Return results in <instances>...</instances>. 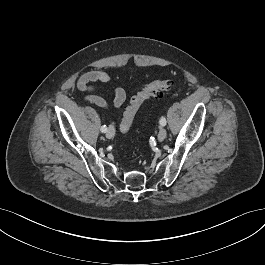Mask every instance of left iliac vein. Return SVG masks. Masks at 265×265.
<instances>
[{"label":"left iliac vein","mask_w":265,"mask_h":265,"mask_svg":"<svg viewBox=\"0 0 265 265\" xmlns=\"http://www.w3.org/2000/svg\"><path fill=\"white\" fill-rule=\"evenodd\" d=\"M167 136V131L164 127H161L160 130H159V133H158V141H163Z\"/></svg>","instance_id":"left-iliac-vein-1"}]
</instances>
